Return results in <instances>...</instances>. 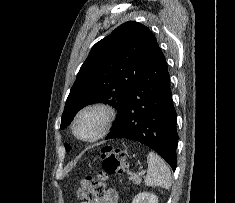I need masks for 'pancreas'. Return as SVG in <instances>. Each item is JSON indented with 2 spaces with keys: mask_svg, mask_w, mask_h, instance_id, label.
I'll return each mask as SVG.
<instances>
[{
  "mask_svg": "<svg viewBox=\"0 0 235 203\" xmlns=\"http://www.w3.org/2000/svg\"><path fill=\"white\" fill-rule=\"evenodd\" d=\"M130 175L129 180H131L134 184L139 185L141 183V178H139L138 176L132 174V173H128Z\"/></svg>",
  "mask_w": 235,
  "mask_h": 203,
  "instance_id": "1",
  "label": "pancreas"
}]
</instances>
